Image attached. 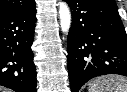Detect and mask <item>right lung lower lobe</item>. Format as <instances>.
Masks as SVG:
<instances>
[{
    "label": "right lung lower lobe",
    "mask_w": 127,
    "mask_h": 92,
    "mask_svg": "<svg viewBox=\"0 0 127 92\" xmlns=\"http://www.w3.org/2000/svg\"><path fill=\"white\" fill-rule=\"evenodd\" d=\"M36 7L0 15V85L16 92H36L31 45Z\"/></svg>",
    "instance_id": "obj_1"
}]
</instances>
